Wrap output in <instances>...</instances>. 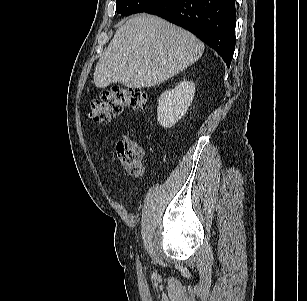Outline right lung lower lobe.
<instances>
[{
    "label": "right lung lower lobe",
    "mask_w": 307,
    "mask_h": 301,
    "mask_svg": "<svg viewBox=\"0 0 307 301\" xmlns=\"http://www.w3.org/2000/svg\"><path fill=\"white\" fill-rule=\"evenodd\" d=\"M142 12L189 30L230 67L235 48V0H158Z\"/></svg>",
    "instance_id": "98d812e1"
}]
</instances>
